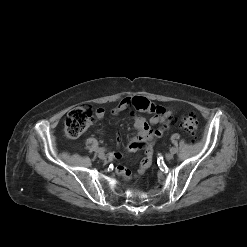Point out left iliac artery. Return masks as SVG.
<instances>
[{"instance_id": "left-iliac-artery-1", "label": "left iliac artery", "mask_w": 247, "mask_h": 247, "mask_svg": "<svg viewBox=\"0 0 247 247\" xmlns=\"http://www.w3.org/2000/svg\"><path fill=\"white\" fill-rule=\"evenodd\" d=\"M170 152L174 154V153L177 152V149H176L175 147H172V148L170 149Z\"/></svg>"}]
</instances>
